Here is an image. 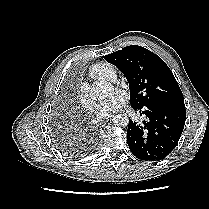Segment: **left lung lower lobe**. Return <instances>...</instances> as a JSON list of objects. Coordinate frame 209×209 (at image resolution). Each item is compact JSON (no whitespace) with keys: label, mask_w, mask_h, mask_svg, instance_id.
Listing matches in <instances>:
<instances>
[{"label":"left lung lower lobe","mask_w":209,"mask_h":209,"mask_svg":"<svg viewBox=\"0 0 209 209\" xmlns=\"http://www.w3.org/2000/svg\"><path fill=\"white\" fill-rule=\"evenodd\" d=\"M148 118L142 125L129 120L127 142L132 154L143 161H159L168 156L182 134L185 105L158 104L136 109Z\"/></svg>","instance_id":"obj_1"}]
</instances>
